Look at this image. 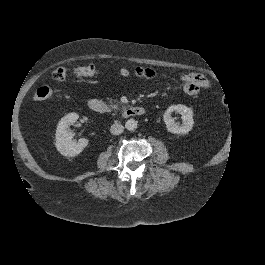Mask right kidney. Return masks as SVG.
<instances>
[{
	"label": "right kidney",
	"mask_w": 265,
	"mask_h": 265,
	"mask_svg": "<svg viewBox=\"0 0 265 265\" xmlns=\"http://www.w3.org/2000/svg\"><path fill=\"white\" fill-rule=\"evenodd\" d=\"M77 120V114H69L61 119L57 127L55 144L57 151L63 156H78L89 145V140L86 138L73 142L74 134L67 130Z\"/></svg>",
	"instance_id": "right-kidney-1"
}]
</instances>
